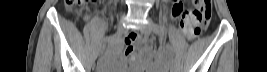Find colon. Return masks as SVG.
<instances>
[{"mask_svg":"<svg viewBox=\"0 0 267 72\" xmlns=\"http://www.w3.org/2000/svg\"><path fill=\"white\" fill-rule=\"evenodd\" d=\"M89 2V0H66L69 10L79 15L86 13ZM193 3L195 8L189 10V13L196 18V22L184 25L182 21H179L181 28L189 39L197 38L202 30L208 26L211 18V0H194ZM173 10L178 12L181 10L179 2H174Z\"/></svg>","mask_w":267,"mask_h":72,"instance_id":"colon-1","label":"colon"}]
</instances>
